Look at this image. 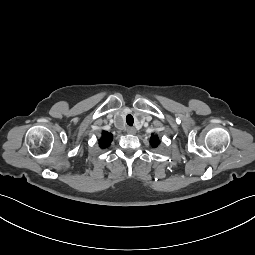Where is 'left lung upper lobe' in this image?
Masks as SVG:
<instances>
[{"instance_id": "5c2ea615", "label": "left lung upper lobe", "mask_w": 255, "mask_h": 255, "mask_svg": "<svg viewBox=\"0 0 255 255\" xmlns=\"http://www.w3.org/2000/svg\"><path fill=\"white\" fill-rule=\"evenodd\" d=\"M150 142L153 147H157L159 145V138L156 135H152Z\"/></svg>"}]
</instances>
